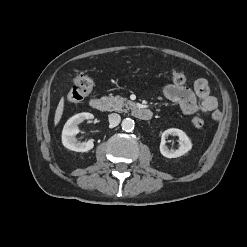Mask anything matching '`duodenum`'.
<instances>
[{"label": "duodenum", "instance_id": "obj_1", "mask_svg": "<svg viewBox=\"0 0 247 247\" xmlns=\"http://www.w3.org/2000/svg\"><path fill=\"white\" fill-rule=\"evenodd\" d=\"M90 105L94 110L104 112L108 108V102L103 97L94 98L90 101ZM133 115L143 121H148L152 119L153 112L150 109L142 108V107H135L133 109Z\"/></svg>", "mask_w": 247, "mask_h": 247}]
</instances>
